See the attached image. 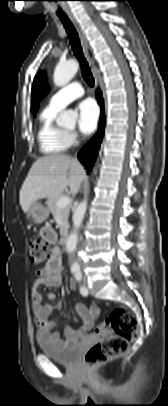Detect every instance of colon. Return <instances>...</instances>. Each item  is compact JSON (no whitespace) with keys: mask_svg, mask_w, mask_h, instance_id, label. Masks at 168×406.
<instances>
[{"mask_svg":"<svg viewBox=\"0 0 168 406\" xmlns=\"http://www.w3.org/2000/svg\"><path fill=\"white\" fill-rule=\"evenodd\" d=\"M50 253L51 246L48 242L36 238L30 240L29 258L32 264H42L50 258ZM109 328L114 334L109 333ZM97 329L104 337L87 351L84 358L87 368L99 366L124 354L129 342L137 337L139 325L132 311L118 308Z\"/></svg>","mask_w":168,"mask_h":406,"instance_id":"colon-1","label":"colon"}]
</instances>
